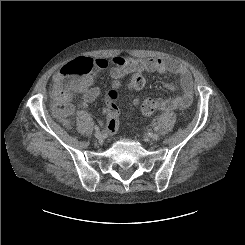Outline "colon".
<instances>
[{
	"label": "colon",
	"instance_id": "1",
	"mask_svg": "<svg viewBox=\"0 0 245 245\" xmlns=\"http://www.w3.org/2000/svg\"><path fill=\"white\" fill-rule=\"evenodd\" d=\"M95 60L85 56H76L68 61L61 70V75L54 81L52 94L54 99V111L56 116L61 119L65 126H70V116L72 107L70 103V94L79 91L92 81V75L98 71ZM145 86V79L139 73L131 75L128 82L130 91H141ZM118 93L115 89L107 93L105 100V111L107 115H111L116 109V99ZM156 98L148 96L144 99L141 110L144 115H151L156 111ZM118 128V120L109 117L107 121V130L114 133Z\"/></svg>",
	"mask_w": 245,
	"mask_h": 245
}]
</instances>
